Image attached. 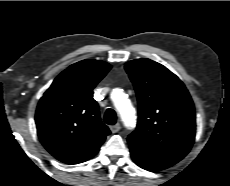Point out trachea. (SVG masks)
I'll use <instances>...</instances> for the list:
<instances>
[{
    "instance_id": "obj_1",
    "label": "trachea",
    "mask_w": 230,
    "mask_h": 186,
    "mask_svg": "<svg viewBox=\"0 0 230 186\" xmlns=\"http://www.w3.org/2000/svg\"><path fill=\"white\" fill-rule=\"evenodd\" d=\"M117 116L114 110L107 109L104 115V122L108 125H114L116 123Z\"/></svg>"
}]
</instances>
